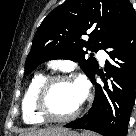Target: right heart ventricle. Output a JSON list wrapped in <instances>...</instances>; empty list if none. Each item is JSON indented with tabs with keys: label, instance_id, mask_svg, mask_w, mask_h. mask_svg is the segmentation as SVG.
<instances>
[{
	"label": "right heart ventricle",
	"instance_id": "obj_1",
	"mask_svg": "<svg viewBox=\"0 0 136 136\" xmlns=\"http://www.w3.org/2000/svg\"><path fill=\"white\" fill-rule=\"evenodd\" d=\"M45 78L46 76L43 73L35 74L25 89L22 98V114L27 124H41L44 122L35 111L34 100L37 90Z\"/></svg>",
	"mask_w": 136,
	"mask_h": 136
}]
</instances>
